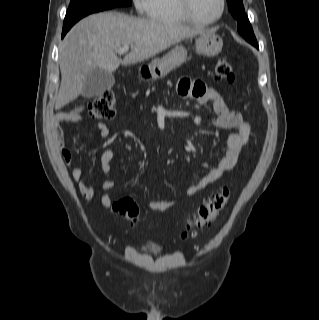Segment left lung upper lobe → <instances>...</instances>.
<instances>
[{"mask_svg": "<svg viewBox=\"0 0 319 320\" xmlns=\"http://www.w3.org/2000/svg\"><path fill=\"white\" fill-rule=\"evenodd\" d=\"M232 16L237 20L238 32L252 45L257 44L253 29L245 13L242 0H227Z\"/></svg>", "mask_w": 319, "mask_h": 320, "instance_id": "1", "label": "left lung upper lobe"}]
</instances>
